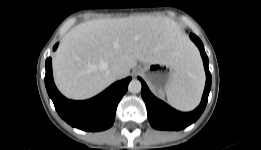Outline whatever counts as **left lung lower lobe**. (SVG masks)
<instances>
[{
    "label": "left lung lower lobe",
    "instance_id": "obj_1",
    "mask_svg": "<svg viewBox=\"0 0 261 150\" xmlns=\"http://www.w3.org/2000/svg\"><path fill=\"white\" fill-rule=\"evenodd\" d=\"M190 38L198 46L203 58L204 68L206 72V85L200 105L192 112H179L164 102L157 99L148 89L146 83L141 79L142 90L141 95L146 103L147 114L150 124L159 130H181L194 123L203 113L211 88V74L208 68V57L205 53L204 46L200 39L194 34H190Z\"/></svg>",
    "mask_w": 261,
    "mask_h": 150
}]
</instances>
